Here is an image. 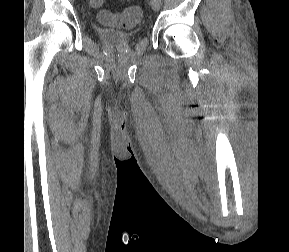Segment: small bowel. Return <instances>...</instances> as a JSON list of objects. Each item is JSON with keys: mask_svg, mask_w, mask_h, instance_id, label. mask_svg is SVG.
<instances>
[{"mask_svg": "<svg viewBox=\"0 0 289 252\" xmlns=\"http://www.w3.org/2000/svg\"><path fill=\"white\" fill-rule=\"evenodd\" d=\"M92 6H93V0H91Z\"/></svg>", "mask_w": 289, "mask_h": 252, "instance_id": "small-bowel-1", "label": "small bowel"}]
</instances>
